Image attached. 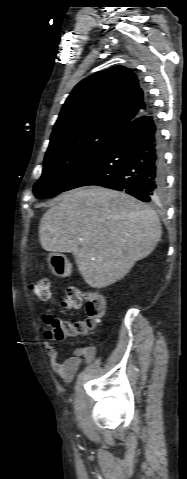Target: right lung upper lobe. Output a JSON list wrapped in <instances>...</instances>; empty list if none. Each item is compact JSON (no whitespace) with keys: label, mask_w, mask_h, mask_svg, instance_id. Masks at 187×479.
<instances>
[{"label":"right lung upper lobe","mask_w":187,"mask_h":479,"mask_svg":"<svg viewBox=\"0 0 187 479\" xmlns=\"http://www.w3.org/2000/svg\"><path fill=\"white\" fill-rule=\"evenodd\" d=\"M150 108L134 72L124 66H114L75 86L63 105L51 138L72 129L98 124L123 130Z\"/></svg>","instance_id":"obj_1"}]
</instances>
